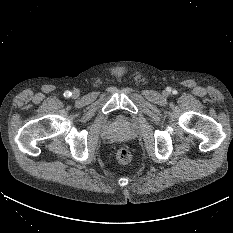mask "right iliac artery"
<instances>
[{
	"label": "right iliac artery",
	"instance_id": "obj_1",
	"mask_svg": "<svg viewBox=\"0 0 233 233\" xmlns=\"http://www.w3.org/2000/svg\"><path fill=\"white\" fill-rule=\"evenodd\" d=\"M71 94H72V93H71L70 91H68V90L64 92V96H65V97H70Z\"/></svg>",
	"mask_w": 233,
	"mask_h": 233
}]
</instances>
